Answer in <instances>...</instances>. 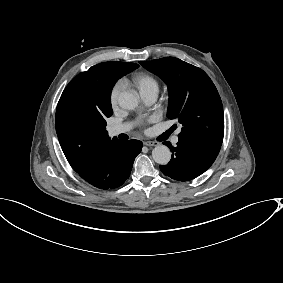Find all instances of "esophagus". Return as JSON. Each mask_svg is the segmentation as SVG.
<instances>
[{
	"instance_id": "esophagus-1",
	"label": "esophagus",
	"mask_w": 283,
	"mask_h": 283,
	"mask_svg": "<svg viewBox=\"0 0 283 283\" xmlns=\"http://www.w3.org/2000/svg\"><path fill=\"white\" fill-rule=\"evenodd\" d=\"M144 145H146V146H158L159 142H156V141H146L144 143Z\"/></svg>"
}]
</instances>
